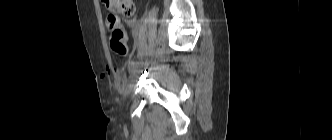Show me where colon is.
I'll return each mask as SVG.
<instances>
[{"mask_svg":"<svg viewBox=\"0 0 332 140\" xmlns=\"http://www.w3.org/2000/svg\"><path fill=\"white\" fill-rule=\"evenodd\" d=\"M102 2L111 12L105 18V27L111 32V48L119 54H125L127 37L118 15L131 17L135 12V4L133 0H102Z\"/></svg>","mask_w":332,"mask_h":140,"instance_id":"obj_1","label":"colon"}]
</instances>
